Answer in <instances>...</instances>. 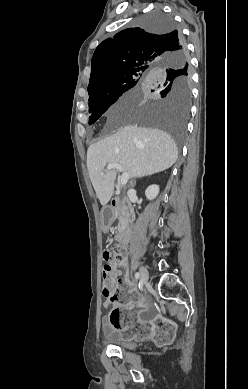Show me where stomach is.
<instances>
[{
	"label": "stomach",
	"instance_id": "obj_1",
	"mask_svg": "<svg viewBox=\"0 0 248 389\" xmlns=\"http://www.w3.org/2000/svg\"><path fill=\"white\" fill-rule=\"evenodd\" d=\"M111 209L109 207H103L102 208V213H101V224L103 226H109L111 224V218H112V215H111Z\"/></svg>",
	"mask_w": 248,
	"mask_h": 389
}]
</instances>
